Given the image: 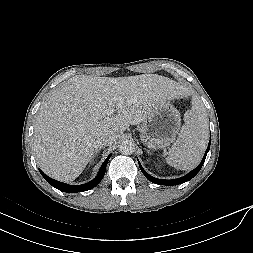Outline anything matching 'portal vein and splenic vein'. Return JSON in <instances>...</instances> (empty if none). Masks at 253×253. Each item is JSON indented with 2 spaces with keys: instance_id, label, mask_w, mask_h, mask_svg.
<instances>
[{
  "instance_id": "18ae733b",
  "label": "portal vein and splenic vein",
  "mask_w": 253,
  "mask_h": 253,
  "mask_svg": "<svg viewBox=\"0 0 253 253\" xmlns=\"http://www.w3.org/2000/svg\"><path fill=\"white\" fill-rule=\"evenodd\" d=\"M122 104H123V99L122 98H118V106H117V108L116 109L115 108L110 109L108 111V114L109 115H113L115 113V111L122 106Z\"/></svg>"
}]
</instances>
